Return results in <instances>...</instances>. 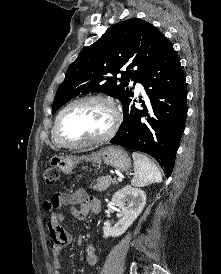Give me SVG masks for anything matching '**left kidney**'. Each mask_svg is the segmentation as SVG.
<instances>
[{"mask_svg":"<svg viewBox=\"0 0 221 274\" xmlns=\"http://www.w3.org/2000/svg\"><path fill=\"white\" fill-rule=\"evenodd\" d=\"M146 194L141 189L125 186L112 197V204L122 210L123 217L112 227L109 221L104 223L103 237H118L126 232L144 209Z\"/></svg>","mask_w":221,"mask_h":274,"instance_id":"1","label":"left kidney"}]
</instances>
